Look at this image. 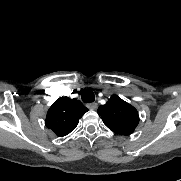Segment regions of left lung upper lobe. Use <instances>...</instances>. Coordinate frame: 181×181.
<instances>
[{
    "label": "left lung upper lobe",
    "mask_w": 181,
    "mask_h": 181,
    "mask_svg": "<svg viewBox=\"0 0 181 181\" xmlns=\"http://www.w3.org/2000/svg\"><path fill=\"white\" fill-rule=\"evenodd\" d=\"M103 123L119 135L132 134L139 123L137 110L117 95H112L97 110Z\"/></svg>",
    "instance_id": "5c2ea615"
}]
</instances>
